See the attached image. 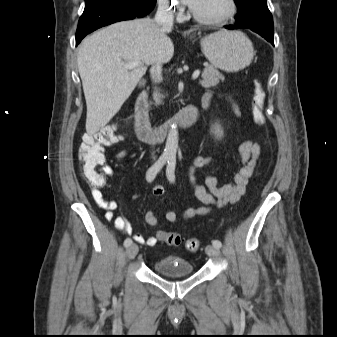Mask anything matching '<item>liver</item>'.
<instances>
[{"mask_svg":"<svg viewBox=\"0 0 337 337\" xmlns=\"http://www.w3.org/2000/svg\"><path fill=\"white\" fill-rule=\"evenodd\" d=\"M171 29L150 18L122 21L86 37L77 64L87 105L86 132L93 135L106 126L131 95L147 67L167 63L174 45ZM140 61L128 70L125 64Z\"/></svg>","mask_w":337,"mask_h":337,"instance_id":"1","label":"liver"}]
</instances>
